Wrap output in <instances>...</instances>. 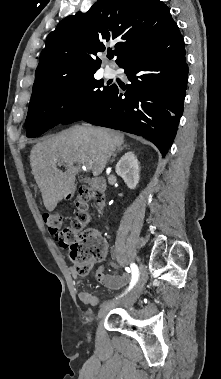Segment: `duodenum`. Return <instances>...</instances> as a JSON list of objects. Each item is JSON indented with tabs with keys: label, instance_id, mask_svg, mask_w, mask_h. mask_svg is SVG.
I'll return each mask as SVG.
<instances>
[{
	"label": "duodenum",
	"instance_id": "410a0bca",
	"mask_svg": "<svg viewBox=\"0 0 221 379\" xmlns=\"http://www.w3.org/2000/svg\"><path fill=\"white\" fill-rule=\"evenodd\" d=\"M90 185H91L92 187H102V186H103V182H102L101 179H99V178H95V179H93V180L90 182ZM102 207H103V204L100 205V208H102Z\"/></svg>",
	"mask_w": 221,
	"mask_h": 379
}]
</instances>
